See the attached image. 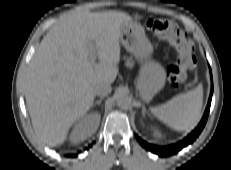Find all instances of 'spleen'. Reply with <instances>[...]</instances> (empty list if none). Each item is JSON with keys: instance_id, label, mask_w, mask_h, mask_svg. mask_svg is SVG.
<instances>
[{"instance_id": "1", "label": "spleen", "mask_w": 231, "mask_h": 170, "mask_svg": "<svg viewBox=\"0 0 231 170\" xmlns=\"http://www.w3.org/2000/svg\"><path fill=\"white\" fill-rule=\"evenodd\" d=\"M203 90L195 89L173 97L168 102L151 108V112L171 128L184 131L195 127L201 117Z\"/></svg>"}]
</instances>
